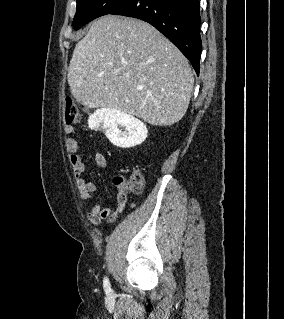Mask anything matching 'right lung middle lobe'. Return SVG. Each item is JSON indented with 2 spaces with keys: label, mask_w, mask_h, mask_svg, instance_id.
<instances>
[{
  "label": "right lung middle lobe",
  "mask_w": 284,
  "mask_h": 319,
  "mask_svg": "<svg viewBox=\"0 0 284 319\" xmlns=\"http://www.w3.org/2000/svg\"><path fill=\"white\" fill-rule=\"evenodd\" d=\"M128 1L130 0H77L73 27L78 30L93 19L110 14Z\"/></svg>",
  "instance_id": "dd1d6c3e"
}]
</instances>
